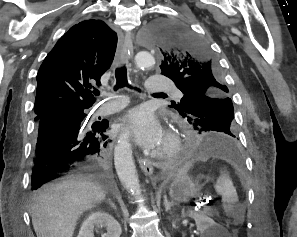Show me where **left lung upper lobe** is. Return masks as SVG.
Instances as JSON below:
<instances>
[{
  "label": "left lung upper lobe",
  "mask_w": 297,
  "mask_h": 237,
  "mask_svg": "<svg viewBox=\"0 0 297 237\" xmlns=\"http://www.w3.org/2000/svg\"><path fill=\"white\" fill-rule=\"evenodd\" d=\"M150 38L162 60L161 74L173 80L184 94L178 104L172 103L173 107L195 130L220 133L236 141L229 90L208 44L190 31L167 23L154 25Z\"/></svg>",
  "instance_id": "1"
}]
</instances>
